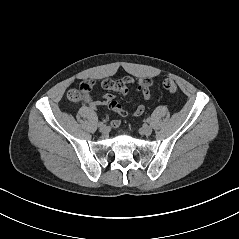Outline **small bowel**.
I'll list each match as a JSON object with an SVG mask.
<instances>
[{
	"label": "small bowel",
	"instance_id": "obj_1",
	"mask_svg": "<svg viewBox=\"0 0 239 239\" xmlns=\"http://www.w3.org/2000/svg\"><path fill=\"white\" fill-rule=\"evenodd\" d=\"M86 82H91L92 87L93 88L95 87L94 81L88 80L83 82L82 84H85ZM152 85H153L152 78H144L141 79L139 82L135 83L134 79L129 76L124 77L118 81L112 79H105L101 82V86L103 89L109 91H117L125 96L129 95L132 91L140 93L143 102H148L152 98V92L150 90ZM85 102L92 109H96L99 106H107L111 111L117 113L122 117L129 116V112L126 109H124L118 102H116L114 100V96L109 93L105 94L101 100H93L88 95V98L86 99ZM144 112L145 106L143 104H140L132 112V115L135 117H139L143 115ZM110 124L113 128H117L120 126L121 121L119 119H113L110 122Z\"/></svg>",
	"mask_w": 239,
	"mask_h": 239
}]
</instances>
